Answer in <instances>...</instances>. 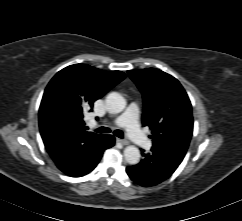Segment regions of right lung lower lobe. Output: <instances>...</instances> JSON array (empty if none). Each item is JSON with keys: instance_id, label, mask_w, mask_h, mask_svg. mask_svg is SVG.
<instances>
[{"instance_id": "obj_1", "label": "right lung lower lobe", "mask_w": 242, "mask_h": 221, "mask_svg": "<svg viewBox=\"0 0 242 221\" xmlns=\"http://www.w3.org/2000/svg\"><path fill=\"white\" fill-rule=\"evenodd\" d=\"M115 138L112 135H102L98 140L86 145L80 157L73 165H57L58 168L72 177L83 176L91 172L99 160L104 150L114 145Z\"/></svg>"}]
</instances>
